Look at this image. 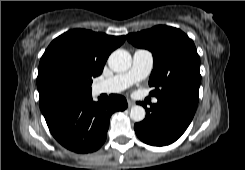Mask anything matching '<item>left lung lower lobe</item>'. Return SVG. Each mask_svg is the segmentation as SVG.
<instances>
[{"label":"left lung lower lobe","mask_w":245,"mask_h":170,"mask_svg":"<svg viewBox=\"0 0 245 170\" xmlns=\"http://www.w3.org/2000/svg\"><path fill=\"white\" fill-rule=\"evenodd\" d=\"M146 109V117L134 125L140 140L153 146L175 142L187 129L195 114L197 103L181 98H158L156 104Z\"/></svg>","instance_id":"0a47b994"}]
</instances>
